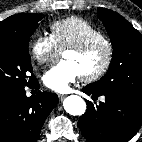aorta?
Listing matches in <instances>:
<instances>
[{
	"instance_id": "obj_1",
	"label": "aorta",
	"mask_w": 142,
	"mask_h": 142,
	"mask_svg": "<svg viewBox=\"0 0 142 142\" xmlns=\"http://www.w3.org/2000/svg\"><path fill=\"white\" fill-rule=\"evenodd\" d=\"M63 106L67 113L74 116H80L86 110L85 101L77 95H70L66 97L63 101Z\"/></svg>"
}]
</instances>
